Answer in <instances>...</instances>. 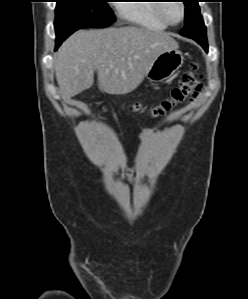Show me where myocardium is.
<instances>
[{
	"instance_id": "f54148a6",
	"label": "myocardium",
	"mask_w": 248,
	"mask_h": 299,
	"mask_svg": "<svg viewBox=\"0 0 248 299\" xmlns=\"http://www.w3.org/2000/svg\"><path fill=\"white\" fill-rule=\"evenodd\" d=\"M177 3L180 4V7H181V11H182V14H181V18L179 19V21L177 22H173L171 20L168 19V17L166 16L165 14V11H164V8L166 6L167 3H159L158 6H157V14L159 16V18L166 24V25H169V26H176L180 23H182L186 17V6L185 4L183 3V1H177Z\"/></svg>"
}]
</instances>
